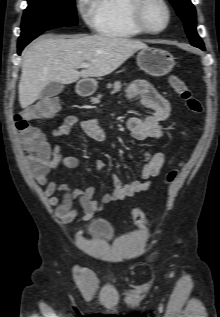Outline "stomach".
I'll return each mask as SVG.
<instances>
[{
	"label": "stomach",
	"mask_w": 220,
	"mask_h": 317,
	"mask_svg": "<svg viewBox=\"0 0 220 317\" xmlns=\"http://www.w3.org/2000/svg\"><path fill=\"white\" fill-rule=\"evenodd\" d=\"M137 64L145 73L159 77L169 73L175 65L174 57L165 50L158 48H144L137 55ZM86 91L92 94L97 89L95 80L84 81Z\"/></svg>",
	"instance_id": "1"
}]
</instances>
